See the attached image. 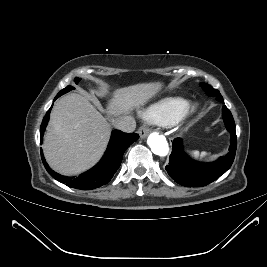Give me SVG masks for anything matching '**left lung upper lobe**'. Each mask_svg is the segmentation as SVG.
Here are the masks:
<instances>
[{
  "instance_id": "1",
  "label": "left lung upper lobe",
  "mask_w": 267,
  "mask_h": 267,
  "mask_svg": "<svg viewBox=\"0 0 267 267\" xmlns=\"http://www.w3.org/2000/svg\"><path fill=\"white\" fill-rule=\"evenodd\" d=\"M200 86L203 88V90L207 86L211 87V90H210L211 94H207V93L206 94L209 95V96H215L218 101L223 103V98H222V96H221V94L219 93L218 90L214 89L212 86L207 85L205 83H200Z\"/></svg>"
}]
</instances>
